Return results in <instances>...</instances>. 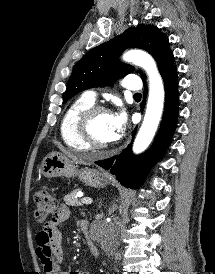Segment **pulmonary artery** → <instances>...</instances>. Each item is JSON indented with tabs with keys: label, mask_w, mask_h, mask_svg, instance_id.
Listing matches in <instances>:
<instances>
[{
	"label": "pulmonary artery",
	"mask_w": 215,
	"mask_h": 274,
	"mask_svg": "<svg viewBox=\"0 0 215 274\" xmlns=\"http://www.w3.org/2000/svg\"><path fill=\"white\" fill-rule=\"evenodd\" d=\"M122 86L130 91H139L141 89V82L136 76H127L122 80ZM85 96L90 100H96V93L94 91H87Z\"/></svg>",
	"instance_id": "1"
}]
</instances>
